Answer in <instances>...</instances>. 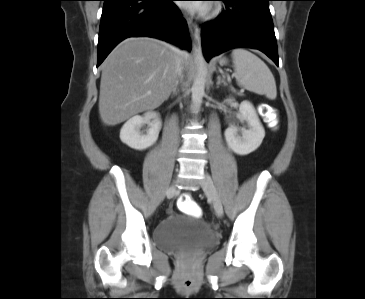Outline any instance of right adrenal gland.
Segmentation results:
<instances>
[{
	"instance_id": "right-adrenal-gland-1",
	"label": "right adrenal gland",
	"mask_w": 365,
	"mask_h": 299,
	"mask_svg": "<svg viewBox=\"0 0 365 299\" xmlns=\"http://www.w3.org/2000/svg\"><path fill=\"white\" fill-rule=\"evenodd\" d=\"M177 87H178V81L175 82L173 89L171 91L172 95H176L177 94Z\"/></svg>"
}]
</instances>
